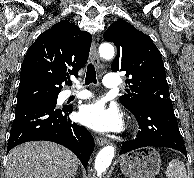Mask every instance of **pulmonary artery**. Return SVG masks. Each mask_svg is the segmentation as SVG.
<instances>
[{
	"label": "pulmonary artery",
	"instance_id": "pulmonary-artery-1",
	"mask_svg": "<svg viewBox=\"0 0 194 178\" xmlns=\"http://www.w3.org/2000/svg\"><path fill=\"white\" fill-rule=\"evenodd\" d=\"M103 85L106 88L115 89L121 85V82L117 74H107L103 78ZM70 95H71V92H68L67 96H70ZM76 97L79 99H88L92 97V94L86 90H82L76 94Z\"/></svg>",
	"mask_w": 194,
	"mask_h": 178
}]
</instances>
